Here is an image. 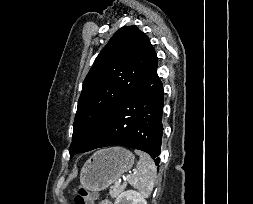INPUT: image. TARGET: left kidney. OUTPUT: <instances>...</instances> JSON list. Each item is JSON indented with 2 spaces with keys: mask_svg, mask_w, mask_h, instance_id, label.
I'll return each instance as SVG.
<instances>
[{
  "mask_svg": "<svg viewBox=\"0 0 253 204\" xmlns=\"http://www.w3.org/2000/svg\"><path fill=\"white\" fill-rule=\"evenodd\" d=\"M114 204H147L145 197L134 190L122 192L115 200Z\"/></svg>",
  "mask_w": 253,
  "mask_h": 204,
  "instance_id": "left-kidney-1",
  "label": "left kidney"
}]
</instances>
